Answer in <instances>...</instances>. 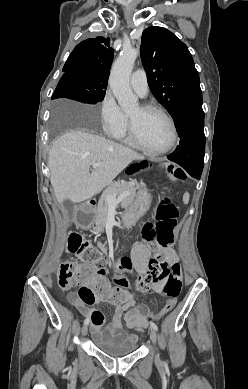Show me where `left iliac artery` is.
I'll return each instance as SVG.
<instances>
[{
	"mask_svg": "<svg viewBox=\"0 0 248 389\" xmlns=\"http://www.w3.org/2000/svg\"><path fill=\"white\" fill-rule=\"evenodd\" d=\"M151 327L154 329V330H158V327H157V325L154 323V322H151Z\"/></svg>",
	"mask_w": 248,
	"mask_h": 389,
	"instance_id": "1",
	"label": "left iliac artery"
}]
</instances>
